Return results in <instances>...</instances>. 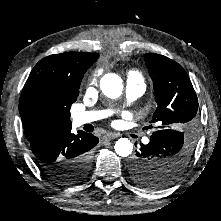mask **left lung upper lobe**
Returning a JSON list of instances; mask_svg holds the SVG:
<instances>
[{
  "instance_id": "1",
  "label": "left lung upper lobe",
  "mask_w": 221,
  "mask_h": 221,
  "mask_svg": "<svg viewBox=\"0 0 221 221\" xmlns=\"http://www.w3.org/2000/svg\"><path fill=\"white\" fill-rule=\"evenodd\" d=\"M144 59L157 102L151 122L160 125V130H172L175 137L163 141L147 157L146 172L134 182L145 188L158 189L176 180L193 154L198 129V100L186 71L178 63L153 53H146ZM154 171H159L158 177H153Z\"/></svg>"
}]
</instances>
